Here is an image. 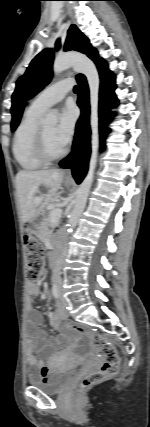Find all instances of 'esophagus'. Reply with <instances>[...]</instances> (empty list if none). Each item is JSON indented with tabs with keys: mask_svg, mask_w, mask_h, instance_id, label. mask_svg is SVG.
<instances>
[{
	"mask_svg": "<svg viewBox=\"0 0 150 427\" xmlns=\"http://www.w3.org/2000/svg\"><path fill=\"white\" fill-rule=\"evenodd\" d=\"M65 176H66L67 178H71V169H66V171H65Z\"/></svg>",
	"mask_w": 150,
	"mask_h": 427,
	"instance_id": "esophagus-1",
	"label": "esophagus"
}]
</instances>
